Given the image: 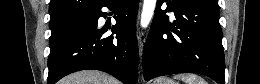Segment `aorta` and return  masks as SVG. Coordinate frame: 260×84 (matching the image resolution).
<instances>
[{
	"label": "aorta",
	"instance_id": "aorta-1",
	"mask_svg": "<svg viewBox=\"0 0 260 84\" xmlns=\"http://www.w3.org/2000/svg\"><path fill=\"white\" fill-rule=\"evenodd\" d=\"M156 7V0H144L141 14V26L147 27L151 21Z\"/></svg>",
	"mask_w": 260,
	"mask_h": 84
}]
</instances>
